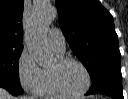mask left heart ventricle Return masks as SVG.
<instances>
[{
  "instance_id": "left-heart-ventricle-1",
  "label": "left heart ventricle",
  "mask_w": 128,
  "mask_h": 99,
  "mask_svg": "<svg viewBox=\"0 0 128 99\" xmlns=\"http://www.w3.org/2000/svg\"><path fill=\"white\" fill-rule=\"evenodd\" d=\"M50 69L57 70L59 84L67 92L75 93L85 86L86 77L84 71L76 63H68L57 69L55 62Z\"/></svg>"
}]
</instances>
